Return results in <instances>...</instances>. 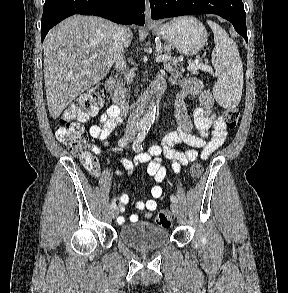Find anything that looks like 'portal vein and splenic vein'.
<instances>
[{
	"instance_id": "obj_1",
	"label": "portal vein and splenic vein",
	"mask_w": 288,
	"mask_h": 293,
	"mask_svg": "<svg viewBox=\"0 0 288 293\" xmlns=\"http://www.w3.org/2000/svg\"><path fill=\"white\" fill-rule=\"evenodd\" d=\"M96 56L93 55L90 57L91 60L95 59ZM171 59V56H167V55H158L156 57V62L160 63V62H166L168 60ZM189 71L191 72H195L196 70L198 69H202L204 71H207V72H210V73H213V69L207 65H203V64H199L198 62H195L194 64L192 65H189L188 68H187Z\"/></svg>"
}]
</instances>
